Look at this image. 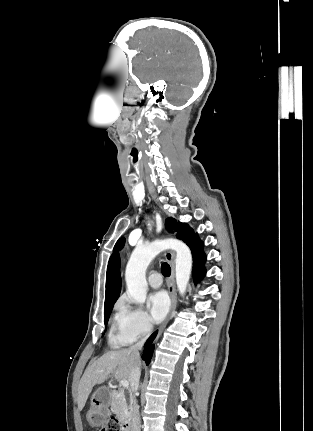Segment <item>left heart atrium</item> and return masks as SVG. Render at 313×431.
<instances>
[{
  "label": "left heart atrium",
  "mask_w": 313,
  "mask_h": 431,
  "mask_svg": "<svg viewBox=\"0 0 313 431\" xmlns=\"http://www.w3.org/2000/svg\"><path fill=\"white\" fill-rule=\"evenodd\" d=\"M151 320L154 323L161 322L169 310V299L165 292L159 291L151 294L147 301Z\"/></svg>",
  "instance_id": "39dd6f15"
}]
</instances>
